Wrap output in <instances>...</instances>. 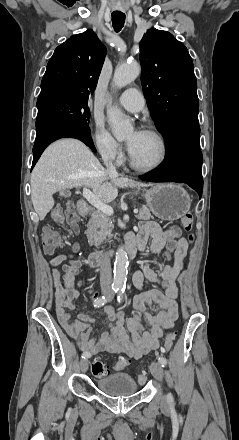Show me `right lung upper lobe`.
<instances>
[{"label":"right lung upper lobe","instance_id":"obj_1","mask_svg":"<svg viewBox=\"0 0 239 440\" xmlns=\"http://www.w3.org/2000/svg\"><path fill=\"white\" fill-rule=\"evenodd\" d=\"M105 56L106 47L93 30L73 35L50 58L37 102L52 97L88 99L96 88Z\"/></svg>","mask_w":239,"mask_h":440}]
</instances>
